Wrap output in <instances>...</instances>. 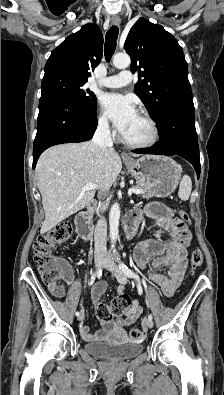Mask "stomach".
Here are the masks:
<instances>
[{
    "instance_id": "stomach-1",
    "label": "stomach",
    "mask_w": 224,
    "mask_h": 395,
    "mask_svg": "<svg viewBox=\"0 0 224 395\" xmlns=\"http://www.w3.org/2000/svg\"><path fill=\"white\" fill-rule=\"evenodd\" d=\"M126 166L143 188L159 198L169 196L176 189L182 172L172 158L157 155L128 159Z\"/></svg>"
}]
</instances>
